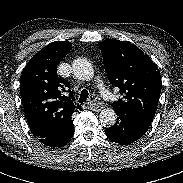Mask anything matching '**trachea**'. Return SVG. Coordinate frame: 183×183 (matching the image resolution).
Instances as JSON below:
<instances>
[{"label": "trachea", "instance_id": "1", "mask_svg": "<svg viewBox=\"0 0 183 183\" xmlns=\"http://www.w3.org/2000/svg\"><path fill=\"white\" fill-rule=\"evenodd\" d=\"M88 95H89L88 91L86 89H83L81 91L80 98H79L78 102H80V103L86 102L88 99Z\"/></svg>", "mask_w": 183, "mask_h": 183}]
</instances>
